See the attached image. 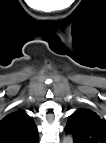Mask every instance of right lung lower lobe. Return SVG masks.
Segmentation results:
<instances>
[{"label":"right lung lower lobe","mask_w":106,"mask_h":143,"mask_svg":"<svg viewBox=\"0 0 106 143\" xmlns=\"http://www.w3.org/2000/svg\"><path fill=\"white\" fill-rule=\"evenodd\" d=\"M39 142V140H37L35 143H38Z\"/></svg>","instance_id":"1"}]
</instances>
